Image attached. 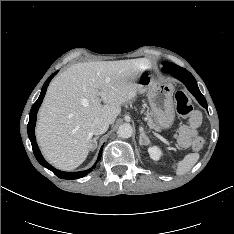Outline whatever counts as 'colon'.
I'll return each mask as SVG.
<instances>
[{
    "mask_svg": "<svg viewBox=\"0 0 234 234\" xmlns=\"http://www.w3.org/2000/svg\"><path fill=\"white\" fill-rule=\"evenodd\" d=\"M176 110L180 117L191 119L195 112L190 103V99L187 94L183 91H177L175 94ZM205 145V141L202 137H197L193 144L192 149L195 152H199Z\"/></svg>",
    "mask_w": 234,
    "mask_h": 234,
    "instance_id": "5ec220e1",
    "label": "colon"
}]
</instances>
